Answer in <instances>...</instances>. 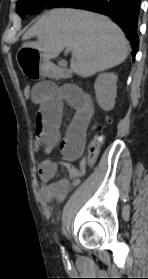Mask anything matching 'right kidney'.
I'll return each instance as SVG.
<instances>
[{
    "instance_id": "obj_1",
    "label": "right kidney",
    "mask_w": 148,
    "mask_h": 279,
    "mask_svg": "<svg viewBox=\"0 0 148 279\" xmlns=\"http://www.w3.org/2000/svg\"><path fill=\"white\" fill-rule=\"evenodd\" d=\"M117 75L114 73L100 74L94 84L96 99L104 111H110L115 105L117 97Z\"/></svg>"
}]
</instances>
